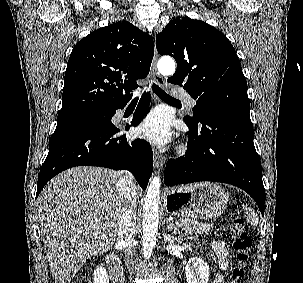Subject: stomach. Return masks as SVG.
<instances>
[{"mask_svg": "<svg viewBox=\"0 0 303 283\" xmlns=\"http://www.w3.org/2000/svg\"><path fill=\"white\" fill-rule=\"evenodd\" d=\"M229 201L225 190L214 183H196L171 189L165 197L166 209L175 215L194 219L216 218Z\"/></svg>", "mask_w": 303, "mask_h": 283, "instance_id": "stomach-1", "label": "stomach"}]
</instances>
